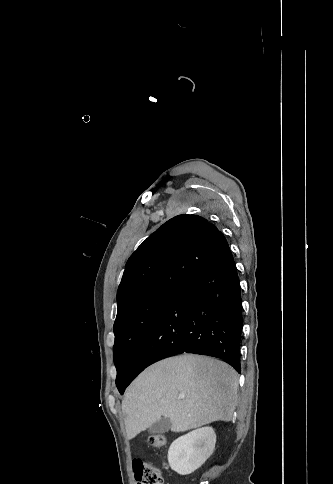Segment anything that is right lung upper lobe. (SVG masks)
<instances>
[{"instance_id": "1", "label": "right lung upper lobe", "mask_w": 333, "mask_h": 484, "mask_svg": "<svg viewBox=\"0 0 333 484\" xmlns=\"http://www.w3.org/2000/svg\"><path fill=\"white\" fill-rule=\"evenodd\" d=\"M230 250L224 235L198 215H178L131 255L117 292V318L161 292L178 290Z\"/></svg>"}]
</instances>
